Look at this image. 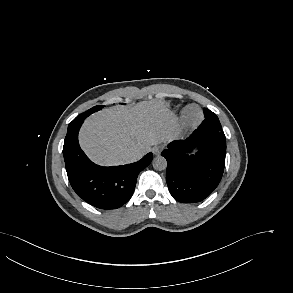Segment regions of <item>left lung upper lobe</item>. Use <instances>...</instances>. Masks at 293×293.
Listing matches in <instances>:
<instances>
[{
	"instance_id": "1",
	"label": "left lung upper lobe",
	"mask_w": 293,
	"mask_h": 293,
	"mask_svg": "<svg viewBox=\"0 0 293 293\" xmlns=\"http://www.w3.org/2000/svg\"><path fill=\"white\" fill-rule=\"evenodd\" d=\"M204 115H205V120L202 122L203 124L211 126L215 132L222 131L221 124L215 113H213L207 108H204Z\"/></svg>"
}]
</instances>
